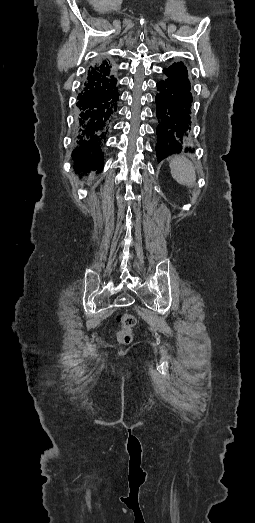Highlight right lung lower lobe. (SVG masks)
I'll list each match as a JSON object with an SVG mask.
<instances>
[{
	"mask_svg": "<svg viewBox=\"0 0 255 523\" xmlns=\"http://www.w3.org/2000/svg\"><path fill=\"white\" fill-rule=\"evenodd\" d=\"M99 107H100V98L97 96L90 97L89 102L86 100H83L79 103V110L83 113L88 112L90 110V108L97 109ZM97 126H98V122L96 120L92 121L90 118H87L85 120L84 127H83L84 136H86V137L93 136L94 128H96ZM83 150L87 153L92 152L94 150V142L90 139L85 140L83 142ZM74 168L79 170V168H76L75 166H74ZM102 170H103V165L100 167L98 173H100ZM79 171H81V170H79ZM87 171H89V170H86V172Z\"/></svg>",
	"mask_w": 255,
	"mask_h": 523,
	"instance_id": "1",
	"label": "right lung lower lobe"
}]
</instances>
